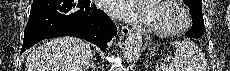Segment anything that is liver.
<instances>
[{"label":"liver","mask_w":230,"mask_h":71,"mask_svg":"<svg viewBox=\"0 0 230 71\" xmlns=\"http://www.w3.org/2000/svg\"><path fill=\"white\" fill-rule=\"evenodd\" d=\"M91 56V47L83 40L56 38L32 49L26 71H84Z\"/></svg>","instance_id":"6515ba94"}]
</instances>
